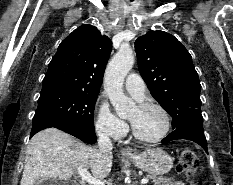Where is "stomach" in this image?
<instances>
[{
  "instance_id": "obj_1",
  "label": "stomach",
  "mask_w": 233,
  "mask_h": 185,
  "mask_svg": "<svg viewBox=\"0 0 233 185\" xmlns=\"http://www.w3.org/2000/svg\"><path fill=\"white\" fill-rule=\"evenodd\" d=\"M136 167L151 175L168 173L173 166L171 156L161 148H151L133 155H126Z\"/></svg>"
}]
</instances>
